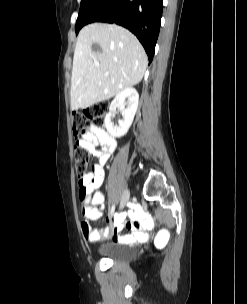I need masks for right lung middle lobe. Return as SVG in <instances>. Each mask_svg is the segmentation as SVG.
I'll return each mask as SVG.
<instances>
[{
  "instance_id": "obj_1",
  "label": "right lung middle lobe",
  "mask_w": 247,
  "mask_h": 304,
  "mask_svg": "<svg viewBox=\"0 0 247 304\" xmlns=\"http://www.w3.org/2000/svg\"><path fill=\"white\" fill-rule=\"evenodd\" d=\"M102 0H81L80 10L76 21L75 31L78 34L79 30L83 27L84 19L90 14V12L100 3Z\"/></svg>"
}]
</instances>
